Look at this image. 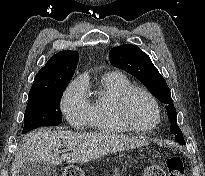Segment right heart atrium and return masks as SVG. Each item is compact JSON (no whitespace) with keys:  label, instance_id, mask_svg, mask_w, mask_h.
Listing matches in <instances>:
<instances>
[{"label":"right heart atrium","instance_id":"1","mask_svg":"<svg viewBox=\"0 0 205 176\" xmlns=\"http://www.w3.org/2000/svg\"><path fill=\"white\" fill-rule=\"evenodd\" d=\"M60 107L66 120L75 127H81L88 119L90 105L85 80L82 77L73 80L65 89Z\"/></svg>","mask_w":205,"mask_h":176}]
</instances>
